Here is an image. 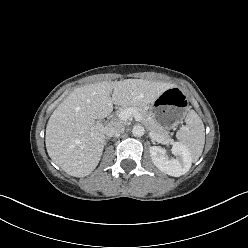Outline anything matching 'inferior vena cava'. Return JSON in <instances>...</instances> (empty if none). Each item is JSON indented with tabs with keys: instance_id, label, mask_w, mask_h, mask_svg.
<instances>
[{
	"instance_id": "1",
	"label": "inferior vena cava",
	"mask_w": 248,
	"mask_h": 248,
	"mask_svg": "<svg viewBox=\"0 0 248 248\" xmlns=\"http://www.w3.org/2000/svg\"><path fill=\"white\" fill-rule=\"evenodd\" d=\"M124 130V126L117 122H111L104 127V133L108 137L120 135Z\"/></svg>"
}]
</instances>
